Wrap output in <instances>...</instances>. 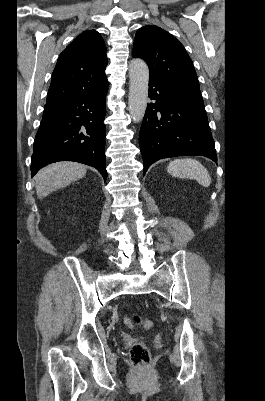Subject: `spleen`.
Here are the masks:
<instances>
[{
    "label": "spleen",
    "mask_w": 265,
    "mask_h": 401,
    "mask_svg": "<svg viewBox=\"0 0 265 401\" xmlns=\"http://www.w3.org/2000/svg\"><path fill=\"white\" fill-rule=\"evenodd\" d=\"M167 170L172 176H178V178H193L202 186L211 184V176L207 168L195 158H175L169 162Z\"/></svg>",
    "instance_id": "3e777b00"
}]
</instances>
